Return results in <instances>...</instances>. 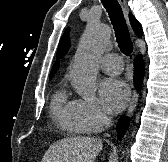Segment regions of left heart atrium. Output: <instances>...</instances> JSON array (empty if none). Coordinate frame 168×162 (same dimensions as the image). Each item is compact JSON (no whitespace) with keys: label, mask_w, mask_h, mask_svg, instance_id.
I'll list each match as a JSON object with an SVG mask.
<instances>
[{"label":"left heart atrium","mask_w":168,"mask_h":162,"mask_svg":"<svg viewBox=\"0 0 168 162\" xmlns=\"http://www.w3.org/2000/svg\"><path fill=\"white\" fill-rule=\"evenodd\" d=\"M101 101L110 113L120 112L130 99V89L121 79L107 78L100 88Z\"/></svg>","instance_id":"left-heart-atrium-1"}]
</instances>
